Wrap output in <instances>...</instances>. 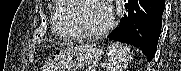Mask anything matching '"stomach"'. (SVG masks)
Here are the masks:
<instances>
[{
  "instance_id": "obj_1",
  "label": "stomach",
  "mask_w": 181,
  "mask_h": 71,
  "mask_svg": "<svg viewBox=\"0 0 181 71\" xmlns=\"http://www.w3.org/2000/svg\"><path fill=\"white\" fill-rule=\"evenodd\" d=\"M102 56L103 50L101 47L96 44H82L62 51L47 63V69H51L50 71H70L87 64L99 62Z\"/></svg>"
}]
</instances>
